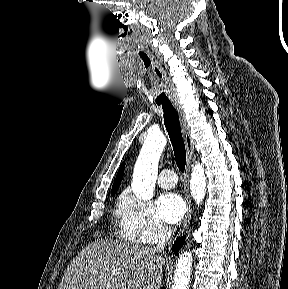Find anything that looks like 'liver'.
I'll return each instance as SVG.
<instances>
[{
    "label": "liver",
    "mask_w": 288,
    "mask_h": 289,
    "mask_svg": "<svg viewBox=\"0 0 288 289\" xmlns=\"http://www.w3.org/2000/svg\"><path fill=\"white\" fill-rule=\"evenodd\" d=\"M164 264L154 248L98 239L73 259L58 289H159Z\"/></svg>",
    "instance_id": "1"
}]
</instances>
